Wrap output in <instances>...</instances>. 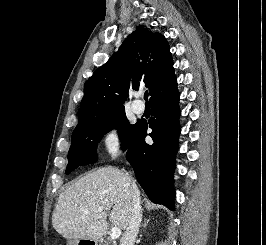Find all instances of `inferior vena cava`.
<instances>
[{
    "mask_svg": "<svg viewBox=\"0 0 266 245\" xmlns=\"http://www.w3.org/2000/svg\"><path fill=\"white\" fill-rule=\"evenodd\" d=\"M128 191L131 199L130 203L131 217H130L129 227H127L126 231H124L121 237L120 245H134L135 239L139 233V225L142 219L140 191L138 187H136L135 183H131Z\"/></svg>",
    "mask_w": 266,
    "mask_h": 245,
    "instance_id": "obj_1",
    "label": "inferior vena cava"
}]
</instances>
